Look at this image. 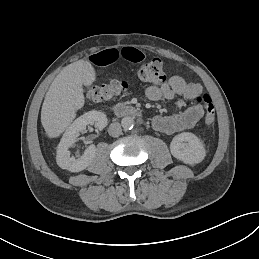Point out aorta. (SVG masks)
<instances>
[{
    "instance_id": "obj_1",
    "label": "aorta",
    "mask_w": 259,
    "mask_h": 259,
    "mask_svg": "<svg viewBox=\"0 0 259 259\" xmlns=\"http://www.w3.org/2000/svg\"><path fill=\"white\" fill-rule=\"evenodd\" d=\"M121 125L125 130H131L134 126V119L130 116H126L121 120Z\"/></svg>"
}]
</instances>
